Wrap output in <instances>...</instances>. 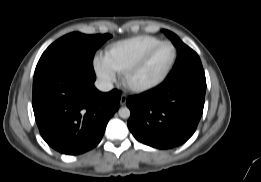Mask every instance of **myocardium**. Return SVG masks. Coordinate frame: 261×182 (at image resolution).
I'll return each instance as SVG.
<instances>
[{
    "instance_id": "1",
    "label": "myocardium",
    "mask_w": 261,
    "mask_h": 182,
    "mask_svg": "<svg viewBox=\"0 0 261 182\" xmlns=\"http://www.w3.org/2000/svg\"><path fill=\"white\" fill-rule=\"evenodd\" d=\"M165 45H168L172 48L173 57H172L170 64L168 65L167 69L163 72V74L156 80L146 83V84L138 85V84L133 83V81H132L133 76L146 64V62L149 60V58L158 48H160L161 46H165ZM177 55H178L177 48L173 43H171L169 41H161V42L155 44L154 46L149 48L141 57H139L124 72L123 82H124L125 86L129 90H131L133 92H137V93L146 92V91L156 88L157 86L162 84L167 79L169 74L171 73V71L175 65V62L177 60Z\"/></svg>"
}]
</instances>
